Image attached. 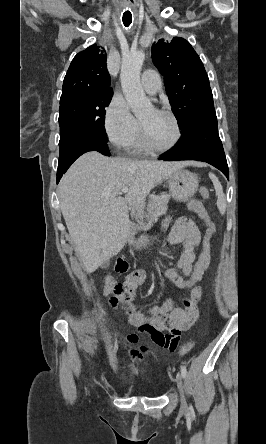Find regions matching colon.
<instances>
[{"label": "colon", "mask_w": 266, "mask_h": 444, "mask_svg": "<svg viewBox=\"0 0 266 444\" xmlns=\"http://www.w3.org/2000/svg\"><path fill=\"white\" fill-rule=\"evenodd\" d=\"M199 192L202 197L207 198L208 192L205 188H200ZM188 208L198 214L205 222L207 232L203 242L202 251L195 261L191 273L184 278V285L181 288L183 295L180 297H171L161 303H157L148 308H142L134 303L135 289L133 283L126 279L114 285L110 296V304L115 308H123L126 312L136 317H156L164 316L170 313L174 308L178 307L179 300L185 301L184 294L191 291L198 285L211 262V240L215 234V227L210 221L205 207L196 200L188 202ZM195 340L185 342L180 348L179 353L185 354L195 346Z\"/></svg>", "instance_id": "obj_1"}]
</instances>
